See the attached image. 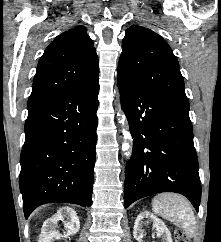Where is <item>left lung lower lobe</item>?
Masks as SVG:
<instances>
[{
	"mask_svg": "<svg viewBox=\"0 0 221 242\" xmlns=\"http://www.w3.org/2000/svg\"><path fill=\"white\" fill-rule=\"evenodd\" d=\"M121 106L133 137L124 205L161 192L186 196L198 211L201 183L189 107L159 97L117 70Z\"/></svg>",
	"mask_w": 221,
	"mask_h": 242,
	"instance_id": "left-lung-lower-lobe-1",
	"label": "left lung lower lobe"
}]
</instances>
